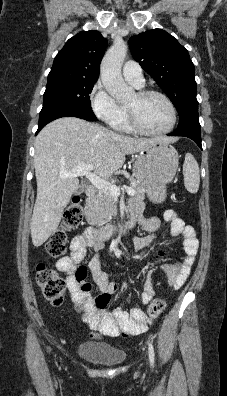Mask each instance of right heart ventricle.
<instances>
[{"label":"right heart ventricle","mask_w":227,"mask_h":396,"mask_svg":"<svg viewBox=\"0 0 227 396\" xmlns=\"http://www.w3.org/2000/svg\"><path fill=\"white\" fill-rule=\"evenodd\" d=\"M112 127L123 133H134L135 130L131 127L126 107H121V111L117 119L111 124Z\"/></svg>","instance_id":"1"}]
</instances>
